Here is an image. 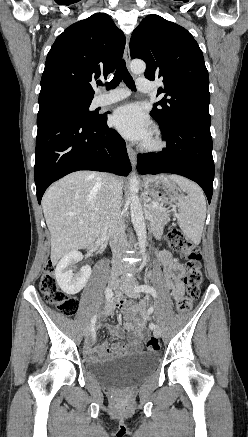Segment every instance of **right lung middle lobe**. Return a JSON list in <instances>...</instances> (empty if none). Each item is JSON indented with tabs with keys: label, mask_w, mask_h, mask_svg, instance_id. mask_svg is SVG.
<instances>
[{
	"label": "right lung middle lobe",
	"mask_w": 248,
	"mask_h": 437,
	"mask_svg": "<svg viewBox=\"0 0 248 437\" xmlns=\"http://www.w3.org/2000/svg\"><path fill=\"white\" fill-rule=\"evenodd\" d=\"M92 99L67 92L53 91L39 96V108L49 106L66 107L81 117L92 120L102 116L96 112L89 111Z\"/></svg>",
	"instance_id": "obj_1"
}]
</instances>
